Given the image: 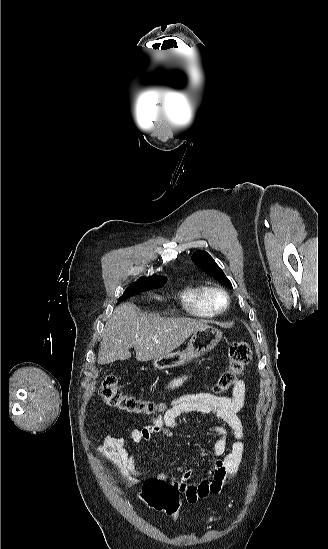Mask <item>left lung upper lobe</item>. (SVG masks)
Wrapping results in <instances>:
<instances>
[{"label":"left lung upper lobe","instance_id":"obj_1","mask_svg":"<svg viewBox=\"0 0 328 549\" xmlns=\"http://www.w3.org/2000/svg\"><path fill=\"white\" fill-rule=\"evenodd\" d=\"M192 259L194 263L203 271H205L208 275L214 277L224 285L232 288L231 282L226 278L222 269L216 264L213 258L206 251H196L192 255Z\"/></svg>","mask_w":328,"mask_h":549}]
</instances>
